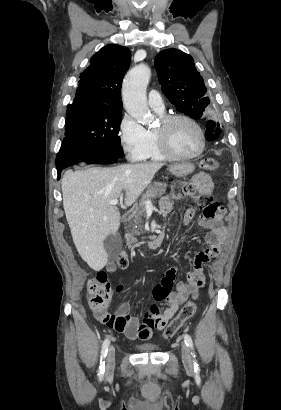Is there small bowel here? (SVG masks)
Here are the masks:
<instances>
[{
  "mask_svg": "<svg viewBox=\"0 0 281 410\" xmlns=\"http://www.w3.org/2000/svg\"><path fill=\"white\" fill-rule=\"evenodd\" d=\"M194 189L200 194L211 195L213 183L211 178L205 173H197L193 177ZM177 199L173 194L164 196L160 201V211L164 215H168L172 211L173 201ZM195 218V210L189 207L185 212V220L192 222ZM198 223L209 229L206 235L208 245L203 248L194 258L191 271L187 274L185 281H180L175 284V277L179 269L171 267L168 269L160 281L152 290V296L155 301L167 303V307L161 313L158 305L150 306L148 313L140 322L129 314L130 305L123 303L119 306L117 315L126 320V325L122 329H118L120 333L130 340L141 339L148 340L152 337L154 331L162 330L166 323L176 314L180 305L190 296L198 294L199 289L205 284V276L203 272L204 265L211 259L219 256L223 249V244L226 239L227 230L222 222V216L199 218ZM116 265L109 263L107 271L114 272ZM123 286L118 285L116 291H123Z\"/></svg>",
  "mask_w": 281,
  "mask_h": 410,
  "instance_id": "small-bowel-1",
  "label": "small bowel"
}]
</instances>
